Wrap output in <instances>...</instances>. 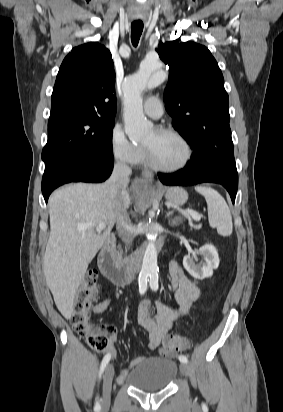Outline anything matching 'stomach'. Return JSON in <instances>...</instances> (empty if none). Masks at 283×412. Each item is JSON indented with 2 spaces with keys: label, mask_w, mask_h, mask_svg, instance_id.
I'll use <instances>...</instances> for the list:
<instances>
[{
  "label": "stomach",
  "mask_w": 283,
  "mask_h": 412,
  "mask_svg": "<svg viewBox=\"0 0 283 412\" xmlns=\"http://www.w3.org/2000/svg\"><path fill=\"white\" fill-rule=\"evenodd\" d=\"M165 198L172 204L183 205L188 199V193L180 187H170L164 191Z\"/></svg>",
  "instance_id": "1"
}]
</instances>
